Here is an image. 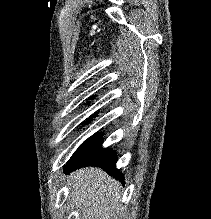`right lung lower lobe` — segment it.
Returning a JSON list of instances; mask_svg holds the SVG:
<instances>
[{
    "mask_svg": "<svg viewBox=\"0 0 211 219\" xmlns=\"http://www.w3.org/2000/svg\"><path fill=\"white\" fill-rule=\"evenodd\" d=\"M101 137L100 134L93 135L80 145L64 168L66 174L85 166H99L115 178L123 180V175L116 168L115 152L102 147Z\"/></svg>",
    "mask_w": 211,
    "mask_h": 219,
    "instance_id": "right-lung-lower-lobe-1",
    "label": "right lung lower lobe"
}]
</instances>
